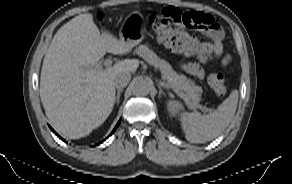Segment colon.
Listing matches in <instances>:
<instances>
[{"instance_id":"colon-1","label":"colon","mask_w":292,"mask_h":184,"mask_svg":"<svg viewBox=\"0 0 292 184\" xmlns=\"http://www.w3.org/2000/svg\"><path fill=\"white\" fill-rule=\"evenodd\" d=\"M151 26L159 42L173 51L196 55L203 61L211 59L215 53L213 45L202 42L187 35L180 27L203 28L212 26L209 17L201 12H183L175 7L164 9L161 15L150 17ZM208 83L218 96L227 92L224 75L220 72L211 73Z\"/></svg>"}]
</instances>
